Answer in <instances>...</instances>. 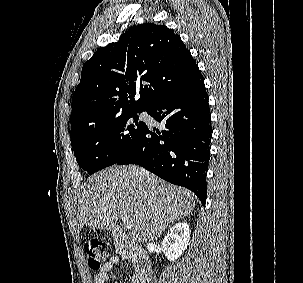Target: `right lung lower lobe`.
I'll return each mask as SVG.
<instances>
[{
	"label": "right lung lower lobe",
	"instance_id": "98d812e1",
	"mask_svg": "<svg viewBox=\"0 0 303 283\" xmlns=\"http://www.w3.org/2000/svg\"><path fill=\"white\" fill-rule=\"evenodd\" d=\"M146 111L166 129L155 133L146 127L116 164H138L170 183L188 188L205 204L212 127L202 74L158 99Z\"/></svg>",
	"mask_w": 303,
	"mask_h": 283
}]
</instances>
